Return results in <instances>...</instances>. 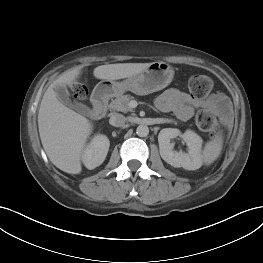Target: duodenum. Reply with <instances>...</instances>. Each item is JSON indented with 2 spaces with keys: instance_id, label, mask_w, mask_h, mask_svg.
<instances>
[{
  "instance_id": "1",
  "label": "duodenum",
  "mask_w": 263,
  "mask_h": 263,
  "mask_svg": "<svg viewBox=\"0 0 263 263\" xmlns=\"http://www.w3.org/2000/svg\"><path fill=\"white\" fill-rule=\"evenodd\" d=\"M109 92L108 89L98 88L93 94V109L92 115L95 118H102L105 116L108 107Z\"/></svg>"
}]
</instances>
